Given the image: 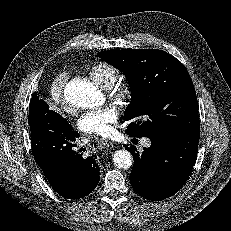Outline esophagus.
I'll return each mask as SVG.
<instances>
[{"label": "esophagus", "instance_id": "esophagus-1", "mask_svg": "<svg viewBox=\"0 0 231 231\" xmlns=\"http://www.w3.org/2000/svg\"><path fill=\"white\" fill-rule=\"evenodd\" d=\"M101 144H102L103 146H107V147L113 146V145H114V143H113L112 141L106 140V139L101 140Z\"/></svg>", "mask_w": 231, "mask_h": 231}]
</instances>
